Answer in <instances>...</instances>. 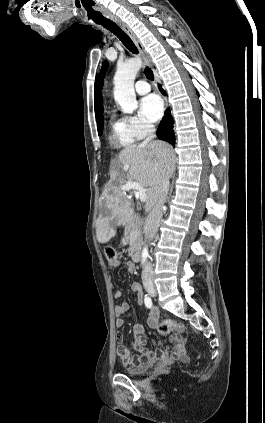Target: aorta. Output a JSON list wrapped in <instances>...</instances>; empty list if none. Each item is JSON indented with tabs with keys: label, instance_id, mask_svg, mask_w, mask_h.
Masks as SVG:
<instances>
[{
	"label": "aorta",
	"instance_id": "obj_1",
	"mask_svg": "<svg viewBox=\"0 0 265 423\" xmlns=\"http://www.w3.org/2000/svg\"><path fill=\"white\" fill-rule=\"evenodd\" d=\"M141 66L142 60L140 58H131L117 66L114 76V99L120 105L122 111L127 114H132L138 107L134 80ZM148 256V247L145 246L142 250V261H145Z\"/></svg>",
	"mask_w": 265,
	"mask_h": 423
}]
</instances>
